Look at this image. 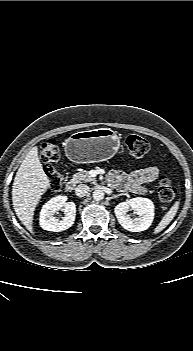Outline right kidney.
<instances>
[{"instance_id": "ca27d5eb", "label": "right kidney", "mask_w": 193, "mask_h": 351, "mask_svg": "<svg viewBox=\"0 0 193 351\" xmlns=\"http://www.w3.org/2000/svg\"><path fill=\"white\" fill-rule=\"evenodd\" d=\"M66 196H56L45 203L40 212V226L47 231L60 232L67 230L75 221L76 205L74 202H66ZM63 211L64 217L59 220L54 217L57 211Z\"/></svg>"}]
</instances>
